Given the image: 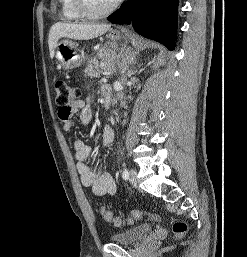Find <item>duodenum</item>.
Listing matches in <instances>:
<instances>
[{"mask_svg":"<svg viewBox=\"0 0 247 257\" xmlns=\"http://www.w3.org/2000/svg\"><path fill=\"white\" fill-rule=\"evenodd\" d=\"M101 91L104 98V106L109 109L112 105V88L109 84H105L102 86Z\"/></svg>","mask_w":247,"mask_h":257,"instance_id":"1","label":"duodenum"}]
</instances>
